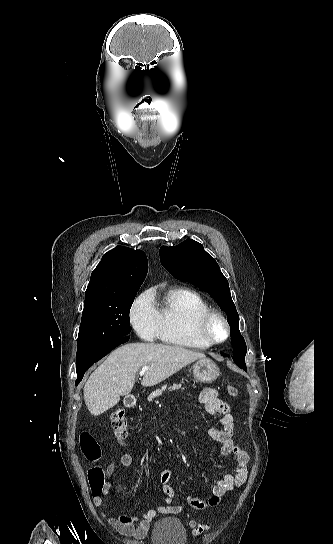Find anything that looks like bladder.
I'll use <instances>...</instances> for the list:
<instances>
[{"label":"bladder","instance_id":"bladder-1","mask_svg":"<svg viewBox=\"0 0 333 544\" xmlns=\"http://www.w3.org/2000/svg\"><path fill=\"white\" fill-rule=\"evenodd\" d=\"M151 541L152 544H186V529L176 518H162L153 527Z\"/></svg>","mask_w":333,"mask_h":544}]
</instances>
